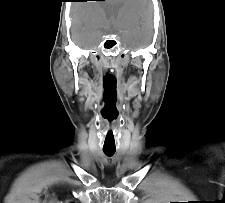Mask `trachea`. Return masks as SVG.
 Segmentation results:
<instances>
[{
    "instance_id": "trachea-1",
    "label": "trachea",
    "mask_w": 225,
    "mask_h": 203,
    "mask_svg": "<svg viewBox=\"0 0 225 203\" xmlns=\"http://www.w3.org/2000/svg\"><path fill=\"white\" fill-rule=\"evenodd\" d=\"M107 156H112L115 153V150H103Z\"/></svg>"
}]
</instances>
